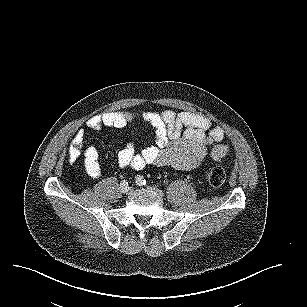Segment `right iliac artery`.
I'll return each instance as SVG.
<instances>
[{
	"label": "right iliac artery",
	"mask_w": 307,
	"mask_h": 307,
	"mask_svg": "<svg viewBox=\"0 0 307 307\" xmlns=\"http://www.w3.org/2000/svg\"><path fill=\"white\" fill-rule=\"evenodd\" d=\"M120 186L121 187H127L128 186V183L124 180L120 183Z\"/></svg>",
	"instance_id": "obj_1"
}]
</instances>
